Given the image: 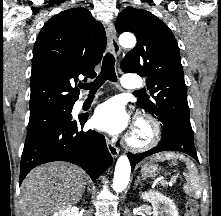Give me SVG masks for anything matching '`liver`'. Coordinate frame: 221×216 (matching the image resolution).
<instances>
[{
	"label": "liver",
	"instance_id": "1",
	"mask_svg": "<svg viewBox=\"0 0 221 216\" xmlns=\"http://www.w3.org/2000/svg\"><path fill=\"white\" fill-rule=\"evenodd\" d=\"M82 169L65 162H51L34 168L21 185L23 216H49L77 204L85 189Z\"/></svg>",
	"mask_w": 221,
	"mask_h": 216
}]
</instances>
